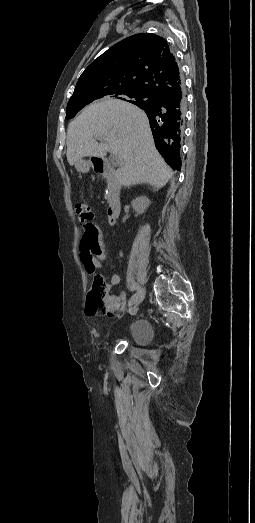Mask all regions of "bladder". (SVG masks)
<instances>
[{
	"instance_id": "obj_1",
	"label": "bladder",
	"mask_w": 255,
	"mask_h": 523,
	"mask_svg": "<svg viewBox=\"0 0 255 523\" xmlns=\"http://www.w3.org/2000/svg\"><path fill=\"white\" fill-rule=\"evenodd\" d=\"M129 338L137 343L148 342L153 338L151 331V322L148 320H140L134 324L130 330Z\"/></svg>"
}]
</instances>
